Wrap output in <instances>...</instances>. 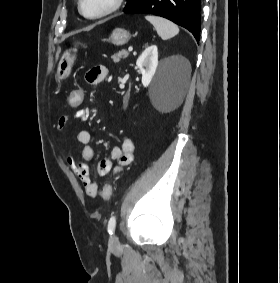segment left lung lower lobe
Segmentation results:
<instances>
[{"label": "left lung lower lobe", "mask_w": 280, "mask_h": 283, "mask_svg": "<svg viewBox=\"0 0 280 283\" xmlns=\"http://www.w3.org/2000/svg\"><path fill=\"white\" fill-rule=\"evenodd\" d=\"M201 0H137L124 13L162 16L189 30L199 41Z\"/></svg>", "instance_id": "obj_1"}]
</instances>
